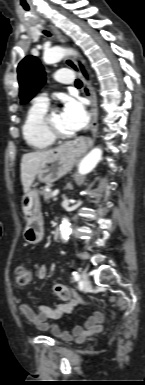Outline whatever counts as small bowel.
Returning <instances> with one entry per match:
<instances>
[{
  "mask_svg": "<svg viewBox=\"0 0 145 385\" xmlns=\"http://www.w3.org/2000/svg\"><path fill=\"white\" fill-rule=\"evenodd\" d=\"M47 274V265L38 268L37 277L39 280H44ZM55 292L61 298V303L54 306L40 305L37 311H34L27 304H21L19 305V312L37 329L41 331L49 330L54 336L66 341L76 339L77 342H81L85 338L102 331L104 315L101 312L92 313L83 325H77L71 331L64 330L55 323H50L49 320H56L65 314L71 313L83 301L80 296L75 295L65 285L57 284Z\"/></svg>",
  "mask_w": 145,
  "mask_h": 385,
  "instance_id": "small-bowel-1",
  "label": "small bowel"
}]
</instances>
